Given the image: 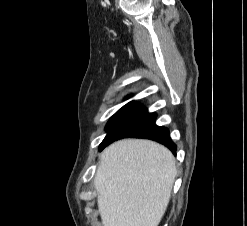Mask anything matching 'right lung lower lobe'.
<instances>
[{
    "instance_id": "1",
    "label": "right lung lower lobe",
    "mask_w": 247,
    "mask_h": 226,
    "mask_svg": "<svg viewBox=\"0 0 247 226\" xmlns=\"http://www.w3.org/2000/svg\"><path fill=\"white\" fill-rule=\"evenodd\" d=\"M156 114L149 113L140 103L131 101L119 109L108 121L107 135L99 146L101 151L115 140L134 137L157 141L174 154L176 145L171 141L169 130L155 124Z\"/></svg>"
}]
</instances>
